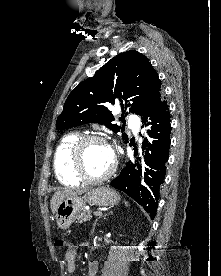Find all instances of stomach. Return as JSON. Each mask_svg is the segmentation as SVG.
Segmentation results:
<instances>
[{"mask_svg": "<svg viewBox=\"0 0 221 276\" xmlns=\"http://www.w3.org/2000/svg\"><path fill=\"white\" fill-rule=\"evenodd\" d=\"M120 200L118 193L109 187H97L84 196H72L60 202L56 210V222L59 228L66 230L74 222L86 203L98 206H113Z\"/></svg>", "mask_w": 221, "mask_h": 276, "instance_id": "obj_1", "label": "stomach"}]
</instances>
